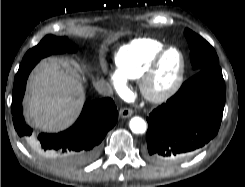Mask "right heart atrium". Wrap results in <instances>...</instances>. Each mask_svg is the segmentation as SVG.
I'll return each mask as SVG.
<instances>
[{
    "label": "right heart atrium",
    "instance_id": "d8ad5b80",
    "mask_svg": "<svg viewBox=\"0 0 245 187\" xmlns=\"http://www.w3.org/2000/svg\"><path fill=\"white\" fill-rule=\"evenodd\" d=\"M108 75L110 77V80H111L112 85L114 86V88L120 94H124L126 92V88H125L123 80L118 76L117 72L108 71Z\"/></svg>",
    "mask_w": 245,
    "mask_h": 187
}]
</instances>
